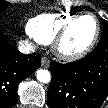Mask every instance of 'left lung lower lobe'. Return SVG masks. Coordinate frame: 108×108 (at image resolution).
I'll use <instances>...</instances> for the list:
<instances>
[{"instance_id": "obj_1", "label": "left lung lower lobe", "mask_w": 108, "mask_h": 108, "mask_svg": "<svg viewBox=\"0 0 108 108\" xmlns=\"http://www.w3.org/2000/svg\"><path fill=\"white\" fill-rule=\"evenodd\" d=\"M50 108H99L108 97V45L68 64L51 62Z\"/></svg>"}]
</instances>
